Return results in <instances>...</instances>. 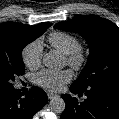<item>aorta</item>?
Masks as SVG:
<instances>
[{"label":"aorta","instance_id":"aorta-1","mask_svg":"<svg viewBox=\"0 0 119 119\" xmlns=\"http://www.w3.org/2000/svg\"><path fill=\"white\" fill-rule=\"evenodd\" d=\"M43 64L47 68L57 69L61 67V60L56 53L49 52L43 56ZM65 107V101L59 96L53 97L50 101V109L54 113H62L65 110Z\"/></svg>","mask_w":119,"mask_h":119}]
</instances>
